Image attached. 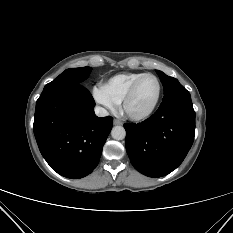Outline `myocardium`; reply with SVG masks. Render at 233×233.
Instances as JSON below:
<instances>
[{
	"mask_svg": "<svg viewBox=\"0 0 233 233\" xmlns=\"http://www.w3.org/2000/svg\"><path fill=\"white\" fill-rule=\"evenodd\" d=\"M147 77H151V78L155 79V81L157 82L158 91H157L156 99H155L154 103L152 104V106L148 110H146L145 112L132 113L128 109V104L131 101V99L133 98L140 82ZM161 92H162V86H161V82H160L159 78L154 74L145 73L142 76H140L137 80H135L134 83L129 88V90L127 91L125 97L122 100V109H123L124 113L127 115V117L130 118L131 120H134V121L146 120L149 117H151L153 115V113L155 112V110L157 109L158 104H159L160 99H161Z\"/></svg>",
	"mask_w": 233,
	"mask_h": 233,
	"instance_id": "1",
	"label": "myocardium"
}]
</instances>
